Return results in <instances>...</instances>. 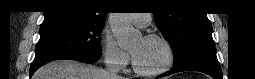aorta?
Listing matches in <instances>:
<instances>
[{"label": "aorta", "mask_w": 255, "mask_h": 79, "mask_svg": "<svg viewBox=\"0 0 255 79\" xmlns=\"http://www.w3.org/2000/svg\"><path fill=\"white\" fill-rule=\"evenodd\" d=\"M110 24L120 47L130 46L140 37L139 31L131 26L125 13H113Z\"/></svg>", "instance_id": "762f6f07"}]
</instances>
